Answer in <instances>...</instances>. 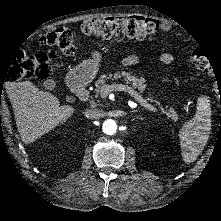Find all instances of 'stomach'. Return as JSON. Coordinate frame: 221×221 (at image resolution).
<instances>
[{
    "instance_id": "obj_1",
    "label": "stomach",
    "mask_w": 221,
    "mask_h": 221,
    "mask_svg": "<svg viewBox=\"0 0 221 221\" xmlns=\"http://www.w3.org/2000/svg\"><path fill=\"white\" fill-rule=\"evenodd\" d=\"M101 60V55L97 51L92 52V59L88 61V65L91 67V74L95 75L97 72V66Z\"/></svg>"
}]
</instances>
